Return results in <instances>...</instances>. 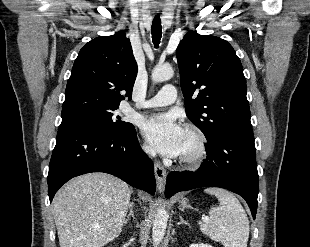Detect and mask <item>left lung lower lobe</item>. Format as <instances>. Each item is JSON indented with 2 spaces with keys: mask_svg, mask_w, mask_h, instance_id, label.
Wrapping results in <instances>:
<instances>
[{
  "mask_svg": "<svg viewBox=\"0 0 310 247\" xmlns=\"http://www.w3.org/2000/svg\"><path fill=\"white\" fill-rule=\"evenodd\" d=\"M207 158L196 172H171L167 177L165 195L179 191L213 186L241 195L255 219L259 178L252 130L223 135L206 146Z\"/></svg>",
  "mask_w": 310,
  "mask_h": 247,
  "instance_id": "obj_1",
  "label": "left lung lower lobe"
}]
</instances>
